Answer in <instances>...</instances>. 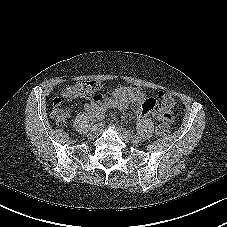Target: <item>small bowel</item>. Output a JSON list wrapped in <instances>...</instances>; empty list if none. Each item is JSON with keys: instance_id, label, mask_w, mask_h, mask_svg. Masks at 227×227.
<instances>
[{"instance_id": "obj_1", "label": "small bowel", "mask_w": 227, "mask_h": 227, "mask_svg": "<svg viewBox=\"0 0 227 227\" xmlns=\"http://www.w3.org/2000/svg\"><path fill=\"white\" fill-rule=\"evenodd\" d=\"M131 104L137 105V113L140 118L149 115L158 120L166 118V113L158 107L154 99L149 98L144 92L133 87H118L112 92L110 97L94 99L86 106V110L93 117L112 107L125 110Z\"/></svg>"}]
</instances>
